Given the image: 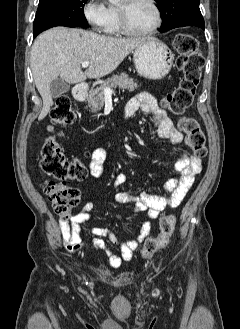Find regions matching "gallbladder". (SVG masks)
I'll return each mask as SVG.
<instances>
[{
  "instance_id": "gallbladder-1",
  "label": "gallbladder",
  "mask_w": 240,
  "mask_h": 329,
  "mask_svg": "<svg viewBox=\"0 0 240 329\" xmlns=\"http://www.w3.org/2000/svg\"><path fill=\"white\" fill-rule=\"evenodd\" d=\"M69 90L70 85L61 78H56L50 83V92L53 98H57Z\"/></svg>"
}]
</instances>
